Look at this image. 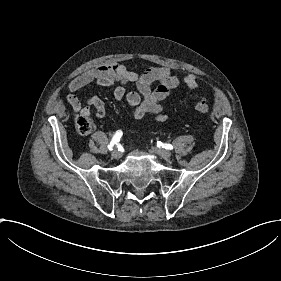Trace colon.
Wrapping results in <instances>:
<instances>
[{
    "instance_id": "5ec220e1",
    "label": "colon",
    "mask_w": 281,
    "mask_h": 281,
    "mask_svg": "<svg viewBox=\"0 0 281 281\" xmlns=\"http://www.w3.org/2000/svg\"><path fill=\"white\" fill-rule=\"evenodd\" d=\"M193 109L198 114H208L211 110V103L205 99L196 100L193 104ZM77 129L81 133H89L92 130L90 119L81 117L77 120Z\"/></svg>"
}]
</instances>
